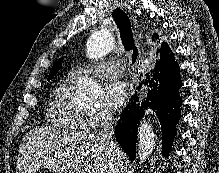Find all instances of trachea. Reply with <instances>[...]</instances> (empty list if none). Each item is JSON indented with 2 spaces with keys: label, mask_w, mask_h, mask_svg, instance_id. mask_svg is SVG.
<instances>
[{
  "label": "trachea",
  "mask_w": 219,
  "mask_h": 173,
  "mask_svg": "<svg viewBox=\"0 0 219 173\" xmlns=\"http://www.w3.org/2000/svg\"><path fill=\"white\" fill-rule=\"evenodd\" d=\"M112 17L114 18L116 25L120 31V38L126 51H132V64L136 62L138 56V49L133 41V32L131 22L127 14L120 8H116Z\"/></svg>",
  "instance_id": "trachea-1"
}]
</instances>
